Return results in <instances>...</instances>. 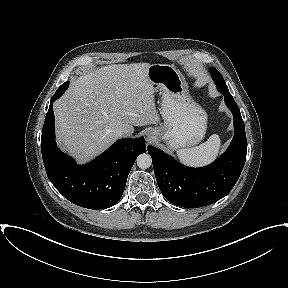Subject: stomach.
Wrapping results in <instances>:
<instances>
[{"label":"stomach","instance_id":"1","mask_svg":"<svg viewBox=\"0 0 288 288\" xmlns=\"http://www.w3.org/2000/svg\"><path fill=\"white\" fill-rule=\"evenodd\" d=\"M154 91L162 94L163 125L150 135L172 150L197 145L207 130V113L189 94L184 76L173 65L152 64L147 71Z\"/></svg>","mask_w":288,"mask_h":288}]
</instances>
